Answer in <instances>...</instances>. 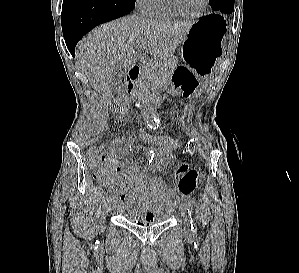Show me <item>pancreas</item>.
<instances>
[{"label": "pancreas", "instance_id": "1", "mask_svg": "<svg viewBox=\"0 0 299 273\" xmlns=\"http://www.w3.org/2000/svg\"><path fill=\"white\" fill-rule=\"evenodd\" d=\"M176 65V58L167 60L158 59L144 64V75L138 82V86L134 91L135 94L141 95L147 93L149 90H154L159 82L169 77Z\"/></svg>", "mask_w": 299, "mask_h": 273}]
</instances>
